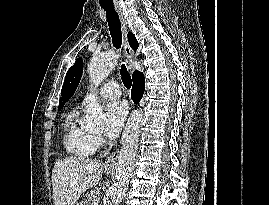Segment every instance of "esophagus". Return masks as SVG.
I'll return each instance as SVG.
<instances>
[{"mask_svg":"<svg viewBox=\"0 0 269 205\" xmlns=\"http://www.w3.org/2000/svg\"><path fill=\"white\" fill-rule=\"evenodd\" d=\"M120 22L122 26V35H123V49H124V56H125V64L129 70H131V63L134 57V51L130 48L128 39H127V32H128V27H127V20L124 16L123 10L121 7L116 6L115 7ZM119 158V149H117L113 154H111L108 159L106 160L105 164L106 165H115L118 161Z\"/></svg>","mask_w":269,"mask_h":205,"instance_id":"esophagus-1","label":"esophagus"}]
</instances>
